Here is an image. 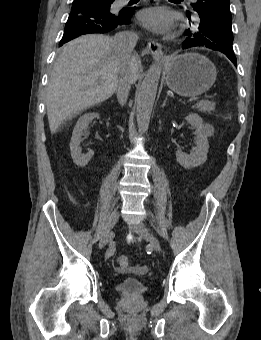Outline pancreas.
<instances>
[{
    "label": "pancreas",
    "mask_w": 261,
    "mask_h": 340,
    "mask_svg": "<svg viewBox=\"0 0 261 340\" xmlns=\"http://www.w3.org/2000/svg\"><path fill=\"white\" fill-rule=\"evenodd\" d=\"M215 103L208 101V100H201L199 101L195 108L199 109L202 113L211 114L215 110Z\"/></svg>",
    "instance_id": "pancreas-1"
}]
</instances>
